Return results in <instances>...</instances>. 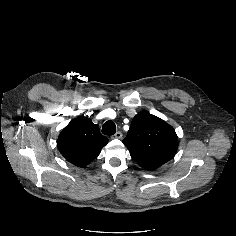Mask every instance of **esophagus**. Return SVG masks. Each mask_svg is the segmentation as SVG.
<instances>
[{"label": "esophagus", "mask_w": 236, "mask_h": 236, "mask_svg": "<svg viewBox=\"0 0 236 236\" xmlns=\"http://www.w3.org/2000/svg\"><path fill=\"white\" fill-rule=\"evenodd\" d=\"M122 136H123V134L120 131H118L112 136V138L121 139Z\"/></svg>", "instance_id": "obj_1"}]
</instances>
